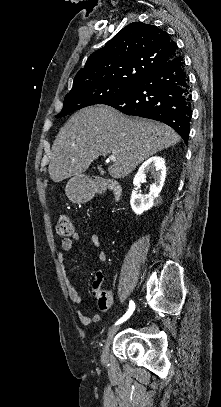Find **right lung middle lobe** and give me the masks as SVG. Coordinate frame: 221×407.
I'll list each match as a JSON object with an SVG mask.
<instances>
[{"label": "right lung middle lobe", "mask_w": 221, "mask_h": 407, "mask_svg": "<svg viewBox=\"0 0 221 407\" xmlns=\"http://www.w3.org/2000/svg\"><path fill=\"white\" fill-rule=\"evenodd\" d=\"M134 86V84H97L70 91L65 96L63 109L56 117L66 116L70 112L87 106L104 104L124 95Z\"/></svg>", "instance_id": "obj_1"}]
</instances>
